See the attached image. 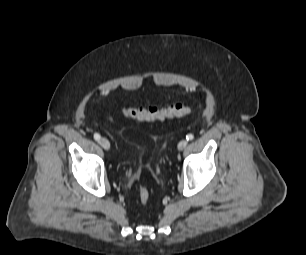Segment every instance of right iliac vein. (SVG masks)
<instances>
[{"mask_svg": "<svg viewBox=\"0 0 306 255\" xmlns=\"http://www.w3.org/2000/svg\"><path fill=\"white\" fill-rule=\"evenodd\" d=\"M99 144L105 150H109L110 149V143H109V141L106 138H101L99 140Z\"/></svg>", "mask_w": 306, "mask_h": 255, "instance_id": "1", "label": "right iliac vein"}]
</instances>
